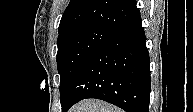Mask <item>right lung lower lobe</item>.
Segmentation results:
<instances>
[{"instance_id": "1", "label": "right lung lower lobe", "mask_w": 193, "mask_h": 112, "mask_svg": "<svg viewBox=\"0 0 193 112\" xmlns=\"http://www.w3.org/2000/svg\"><path fill=\"white\" fill-rule=\"evenodd\" d=\"M150 58L140 15L114 31L86 60L62 112L85 98H98L126 112H149Z\"/></svg>"}]
</instances>
